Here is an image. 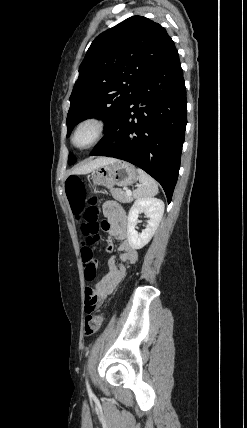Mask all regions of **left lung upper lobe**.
<instances>
[{
  "mask_svg": "<svg viewBox=\"0 0 247 428\" xmlns=\"http://www.w3.org/2000/svg\"><path fill=\"white\" fill-rule=\"evenodd\" d=\"M174 50L166 30L142 16L130 17L96 37L69 99L67 137L91 116L103 118L108 130L138 86ZM75 162L70 153L68 163Z\"/></svg>",
  "mask_w": 247,
  "mask_h": 428,
  "instance_id": "left-lung-upper-lobe-1",
  "label": "left lung upper lobe"
}]
</instances>
